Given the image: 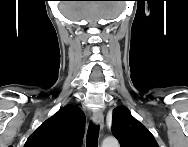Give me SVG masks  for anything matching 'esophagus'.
Returning <instances> with one entry per match:
<instances>
[{"mask_svg":"<svg viewBox=\"0 0 188 147\" xmlns=\"http://www.w3.org/2000/svg\"><path fill=\"white\" fill-rule=\"evenodd\" d=\"M92 121L95 125L103 128V125H104L103 113L100 110H95L93 115H92Z\"/></svg>","mask_w":188,"mask_h":147,"instance_id":"obj_1","label":"esophagus"}]
</instances>
